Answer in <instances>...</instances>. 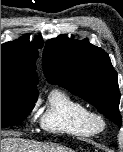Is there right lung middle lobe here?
Masks as SVG:
<instances>
[{"label": "right lung middle lobe", "instance_id": "right-lung-middle-lobe-1", "mask_svg": "<svg viewBox=\"0 0 123 152\" xmlns=\"http://www.w3.org/2000/svg\"><path fill=\"white\" fill-rule=\"evenodd\" d=\"M37 96V89L1 77V127L22 122L32 111Z\"/></svg>", "mask_w": 123, "mask_h": 152}]
</instances>
